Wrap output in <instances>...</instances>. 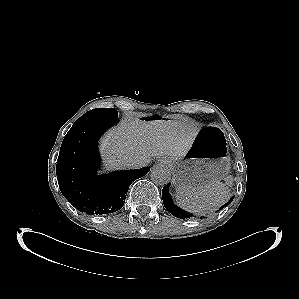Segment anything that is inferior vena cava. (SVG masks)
Instances as JSON below:
<instances>
[{
	"label": "inferior vena cava",
	"mask_w": 299,
	"mask_h": 299,
	"mask_svg": "<svg viewBox=\"0 0 299 299\" xmlns=\"http://www.w3.org/2000/svg\"><path fill=\"white\" fill-rule=\"evenodd\" d=\"M148 162L147 159H134L130 161L127 166L128 168L137 169L145 166Z\"/></svg>",
	"instance_id": "obj_1"
}]
</instances>
